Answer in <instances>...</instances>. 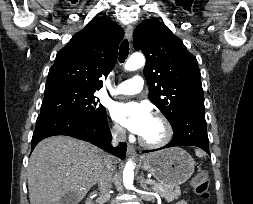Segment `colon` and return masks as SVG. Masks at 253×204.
<instances>
[{"mask_svg": "<svg viewBox=\"0 0 253 204\" xmlns=\"http://www.w3.org/2000/svg\"><path fill=\"white\" fill-rule=\"evenodd\" d=\"M192 186L197 195L200 196L204 204H210V193H209V176L206 172L198 173L192 179Z\"/></svg>", "mask_w": 253, "mask_h": 204, "instance_id": "colon-1", "label": "colon"}]
</instances>
